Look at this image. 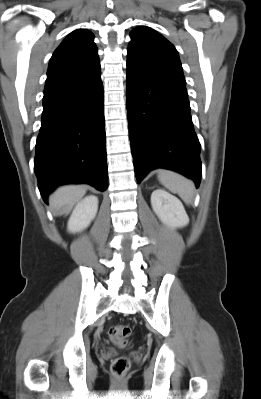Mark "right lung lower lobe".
<instances>
[{
	"mask_svg": "<svg viewBox=\"0 0 261 399\" xmlns=\"http://www.w3.org/2000/svg\"><path fill=\"white\" fill-rule=\"evenodd\" d=\"M104 125L100 74L44 94L34 169L46 203L48 194L66 183L107 189Z\"/></svg>",
	"mask_w": 261,
	"mask_h": 399,
	"instance_id": "98d812e1",
	"label": "right lung lower lobe"
}]
</instances>
